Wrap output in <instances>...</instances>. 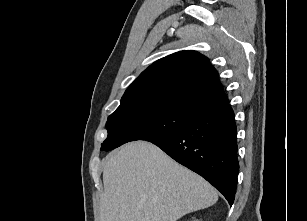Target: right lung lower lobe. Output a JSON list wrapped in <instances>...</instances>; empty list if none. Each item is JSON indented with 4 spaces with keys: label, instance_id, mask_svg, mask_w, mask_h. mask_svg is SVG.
Segmentation results:
<instances>
[{
    "label": "right lung lower lobe",
    "instance_id": "obj_1",
    "mask_svg": "<svg viewBox=\"0 0 307 221\" xmlns=\"http://www.w3.org/2000/svg\"><path fill=\"white\" fill-rule=\"evenodd\" d=\"M236 129L227 101L209 108L186 127L148 141L209 181L232 205L239 169Z\"/></svg>",
    "mask_w": 307,
    "mask_h": 221
}]
</instances>
